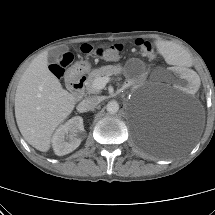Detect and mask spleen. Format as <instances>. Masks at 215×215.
Returning a JSON list of instances; mask_svg holds the SVG:
<instances>
[{
    "instance_id": "3e777b00",
    "label": "spleen",
    "mask_w": 215,
    "mask_h": 215,
    "mask_svg": "<svg viewBox=\"0 0 215 215\" xmlns=\"http://www.w3.org/2000/svg\"><path fill=\"white\" fill-rule=\"evenodd\" d=\"M159 50L162 52L165 60L169 64H181L188 66L192 62V57L187 53V50L183 46L175 47L169 42L157 41Z\"/></svg>"
}]
</instances>
